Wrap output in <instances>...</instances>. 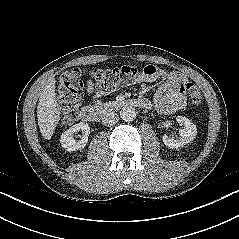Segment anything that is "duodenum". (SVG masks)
Listing matches in <instances>:
<instances>
[{
  "label": "duodenum",
  "mask_w": 239,
  "mask_h": 239,
  "mask_svg": "<svg viewBox=\"0 0 239 239\" xmlns=\"http://www.w3.org/2000/svg\"><path fill=\"white\" fill-rule=\"evenodd\" d=\"M126 106H134L142 110H148L151 108V103L144 98H128L120 99L115 103H110L106 108H103L102 110L89 105H85L80 109V118L86 122H95L100 116L101 111L113 110Z\"/></svg>",
  "instance_id": "410a0bca"
}]
</instances>
